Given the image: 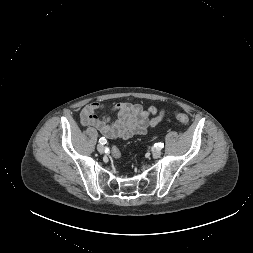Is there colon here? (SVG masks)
<instances>
[{
	"instance_id": "colon-1",
	"label": "colon",
	"mask_w": 253,
	"mask_h": 253,
	"mask_svg": "<svg viewBox=\"0 0 253 253\" xmlns=\"http://www.w3.org/2000/svg\"><path fill=\"white\" fill-rule=\"evenodd\" d=\"M175 117L183 125H188L189 118H188V116L186 114H184L182 112H176L175 113ZM111 154H112V156H113L114 159H116V160H120L121 159V152L118 149V147L115 146V145H113L111 147Z\"/></svg>"
}]
</instances>
